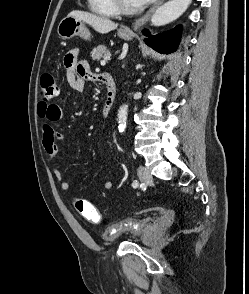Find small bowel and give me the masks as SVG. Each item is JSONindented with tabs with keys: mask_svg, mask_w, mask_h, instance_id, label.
I'll return each mask as SVG.
<instances>
[{
	"mask_svg": "<svg viewBox=\"0 0 249 294\" xmlns=\"http://www.w3.org/2000/svg\"><path fill=\"white\" fill-rule=\"evenodd\" d=\"M79 53L80 50L74 48L66 54L65 71L69 86L74 90L82 91L85 81H98L99 75L91 72L90 65L86 60H79ZM38 114L44 121L42 124V145L48 159L54 161L59 154L57 142L65 138V135L56 131L54 125L64 119V110L58 104L40 102ZM52 172L54 178L59 182L61 190L68 191L70 189V183L64 179L63 172L57 167H53ZM103 187L106 190H110L113 187V182L107 179L104 181ZM171 215V213H166L161 218H169Z\"/></svg>",
	"mask_w": 249,
	"mask_h": 294,
	"instance_id": "c3829d8e",
	"label": "small bowel"
}]
</instances>
